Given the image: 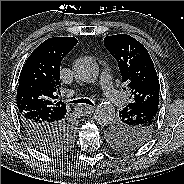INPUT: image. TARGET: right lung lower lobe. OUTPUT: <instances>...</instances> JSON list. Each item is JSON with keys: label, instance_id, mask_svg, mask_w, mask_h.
<instances>
[{"label": "right lung lower lobe", "instance_id": "right-lung-lower-lobe-1", "mask_svg": "<svg viewBox=\"0 0 184 184\" xmlns=\"http://www.w3.org/2000/svg\"><path fill=\"white\" fill-rule=\"evenodd\" d=\"M19 119L28 138L39 150L58 147L69 129L74 132L72 122L65 115L55 117L42 112H26L20 114Z\"/></svg>", "mask_w": 184, "mask_h": 184}]
</instances>
